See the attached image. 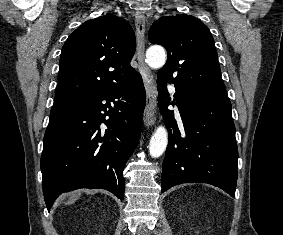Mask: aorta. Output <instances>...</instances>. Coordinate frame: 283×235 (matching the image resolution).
<instances>
[{"label": "aorta", "instance_id": "762f6f07", "mask_svg": "<svg viewBox=\"0 0 283 235\" xmlns=\"http://www.w3.org/2000/svg\"><path fill=\"white\" fill-rule=\"evenodd\" d=\"M146 62L154 69H159L166 62V52L160 46H152L146 52ZM168 143V133L164 126H159L152 135L149 143L151 157L158 158L166 150Z\"/></svg>", "mask_w": 283, "mask_h": 235}]
</instances>
